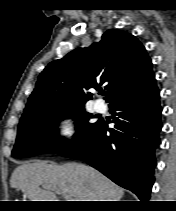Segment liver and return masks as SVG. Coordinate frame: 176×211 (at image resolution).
<instances>
[{
  "mask_svg": "<svg viewBox=\"0 0 176 211\" xmlns=\"http://www.w3.org/2000/svg\"><path fill=\"white\" fill-rule=\"evenodd\" d=\"M10 186L21 190L30 201H59L57 190L78 201H120L124 195V190L102 173L76 162L23 163L13 171Z\"/></svg>",
  "mask_w": 176,
  "mask_h": 211,
  "instance_id": "obj_1",
  "label": "liver"
}]
</instances>
